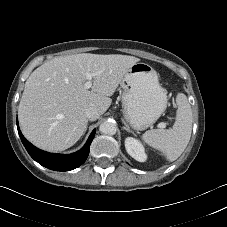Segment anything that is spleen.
<instances>
[{"mask_svg": "<svg viewBox=\"0 0 227 227\" xmlns=\"http://www.w3.org/2000/svg\"><path fill=\"white\" fill-rule=\"evenodd\" d=\"M176 121L172 129H152L146 131L143 141L160 150L168 161H175L187 147L192 131V110L186 95L178 93L176 97Z\"/></svg>", "mask_w": 227, "mask_h": 227, "instance_id": "obj_1", "label": "spleen"}]
</instances>
